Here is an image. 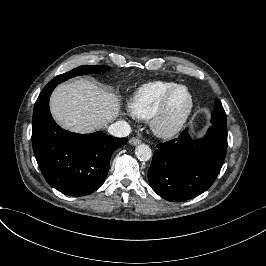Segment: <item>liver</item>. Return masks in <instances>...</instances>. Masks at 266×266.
<instances>
[{"mask_svg": "<svg viewBox=\"0 0 266 266\" xmlns=\"http://www.w3.org/2000/svg\"><path fill=\"white\" fill-rule=\"evenodd\" d=\"M106 91L85 79L62 84L52 95V114L70 131L92 132L110 122L118 112L117 98Z\"/></svg>", "mask_w": 266, "mask_h": 266, "instance_id": "6515ba94", "label": "liver"}]
</instances>
